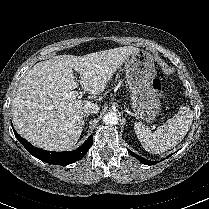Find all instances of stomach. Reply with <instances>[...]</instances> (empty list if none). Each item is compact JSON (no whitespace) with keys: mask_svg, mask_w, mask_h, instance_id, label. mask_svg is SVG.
I'll list each match as a JSON object with an SVG mask.
<instances>
[{"mask_svg":"<svg viewBox=\"0 0 209 209\" xmlns=\"http://www.w3.org/2000/svg\"><path fill=\"white\" fill-rule=\"evenodd\" d=\"M155 71L152 55L144 50L132 54L126 65L132 108L137 117L148 122L158 116L161 105L152 84Z\"/></svg>","mask_w":209,"mask_h":209,"instance_id":"1","label":"stomach"}]
</instances>
